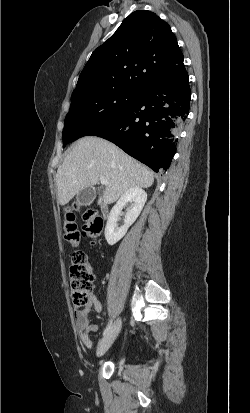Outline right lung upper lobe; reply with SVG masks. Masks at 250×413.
I'll use <instances>...</instances> for the list:
<instances>
[{
	"label": "right lung upper lobe",
	"instance_id": "right-lung-upper-lobe-1",
	"mask_svg": "<svg viewBox=\"0 0 250 413\" xmlns=\"http://www.w3.org/2000/svg\"><path fill=\"white\" fill-rule=\"evenodd\" d=\"M183 59L170 26L153 12L137 10L92 53L73 94L176 81L187 74Z\"/></svg>",
	"mask_w": 250,
	"mask_h": 413
}]
</instances>
